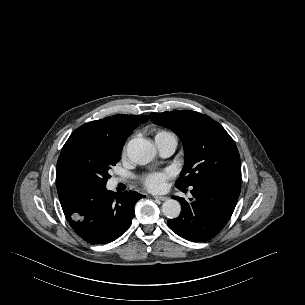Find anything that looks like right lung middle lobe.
<instances>
[{
    "label": "right lung middle lobe",
    "instance_id": "right-lung-middle-lobe-1",
    "mask_svg": "<svg viewBox=\"0 0 305 305\" xmlns=\"http://www.w3.org/2000/svg\"><path fill=\"white\" fill-rule=\"evenodd\" d=\"M122 149L105 140L73 132L64 144L57 161L56 184L106 187L109 169L121 157Z\"/></svg>",
    "mask_w": 305,
    "mask_h": 305
}]
</instances>
